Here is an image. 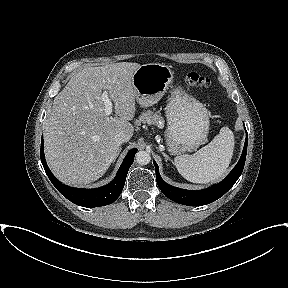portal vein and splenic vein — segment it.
I'll list each match as a JSON object with an SVG mask.
<instances>
[{"mask_svg": "<svg viewBox=\"0 0 288 288\" xmlns=\"http://www.w3.org/2000/svg\"><path fill=\"white\" fill-rule=\"evenodd\" d=\"M101 100L103 101L105 105L104 112L106 115L109 116L112 113L113 104L111 100L109 99L108 93L106 91L101 94Z\"/></svg>", "mask_w": 288, "mask_h": 288, "instance_id": "18ae733b", "label": "portal vein and splenic vein"}]
</instances>
